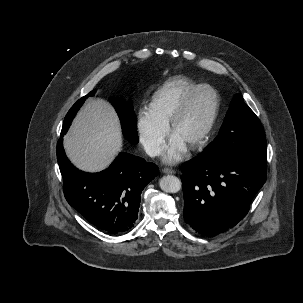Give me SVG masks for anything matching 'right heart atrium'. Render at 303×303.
Masks as SVG:
<instances>
[{
	"instance_id": "obj_1",
	"label": "right heart atrium",
	"mask_w": 303,
	"mask_h": 303,
	"mask_svg": "<svg viewBox=\"0 0 303 303\" xmlns=\"http://www.w3.org/2000/svg\"><path fill=\"white\" fill-rule=\"evenodd\" d=\"M136 126L145 151L150 156H158L164 147L167 126L158 121L150 110L145 108L138 111Z\"/></svg>"
}]
</instances>
